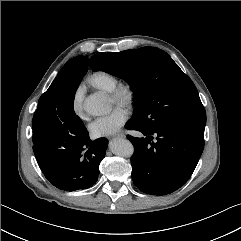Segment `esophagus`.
Instances as JSON below:
<instances>
[{
  "label": "esophagus",
  "mask_w": 241,
  "mask_h": 241,
  "mask_svg": "<svg viewBox=\"0 0 241 241\" xmlns=\"http://www.w3.org/2000/svg\"><path fill=\"white\" fill-rule=\"evenodd\" d=\"M123 137H124L123 134H118V135L114 136V138H123Z\"/></svg>",
  "instance_id": "34e87169"
}]
</instances>
